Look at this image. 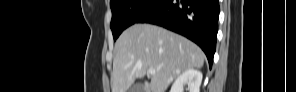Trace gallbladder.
Masks as SVG:
<instances>
[{
  "mask_svg": "<svg viewBox=\"0 0 296 92\" xmlns=\"http://www.w3.org/2000/svg\"><path fill=\"white\" fill-rule=\"evenodd\" d=\"M129 91L130 92H143V85L142 84L133 85Z\"/></svg>",
  "mask_w": 296,
  "mask_h": 92,
  "instance_id": "1",
  "label": "gallbladder"
}]
</instances>
